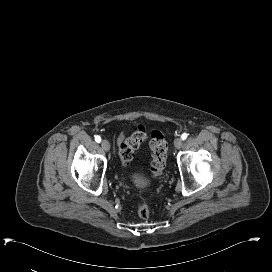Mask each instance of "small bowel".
<instances>
[{"mask_svg":"<svg viewBox=\"0 0 272 272\" xmlns=\"http://www.w3.org/2000/svg\"><path fill=\"white\" fill-rule=\"evenodd\" d=\"M124 138H125V135H124L123 132H121V133L119 134V136H118V141L121 142V141L124 140Z\"/></svg>","mask_w":272,"mask_h":272,"instance_id":"c3829d8e","label":"small bowel"}]
</instances>
